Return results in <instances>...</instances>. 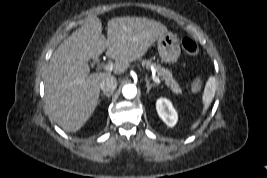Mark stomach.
Wrapping results in <instances>:
<instances>
[{
    "mask_svg": "<svg viewBox=\"0 0 267 178\" xmlns=\"http://www.w3.org/2000/svg\"><path fill=\"white\" fill-rule=\"evenodd\" d=\"M159 56L165 63H175L180 57L179 39L171 32H166L157 39Z\"/></svg>",
    "mask_w": 267,
    "mask_h": 178,
    "instance_id": "stomach-1",
    "label": "stomach"
}]
</instances>
